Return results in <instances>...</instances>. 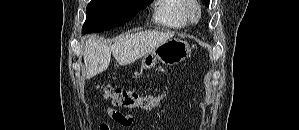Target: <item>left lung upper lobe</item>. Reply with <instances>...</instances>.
Masks as SVG:
<instances>
[{"instance_id":"obj_1","label":"left lung upper lobe","mask_w":299,"mask_h":130,"mask_svg":"<svg viewBox=\"0 0 299 130\" xmlns=\"http://www.w3.org/2000/svg\"><path fill=\"white\" fill-rule=\"evenodd\" d=\"M206 1V4H208L209 3V0H205Z\"/></svg>"}]
</instances>
